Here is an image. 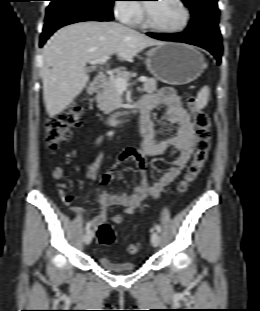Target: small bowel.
I'll list each match as a JSON object with an SVG mask.
<instances>
[{
	"label": "small bowel",
	"instance_id": "1",
	"mask_svg": "<svg viewBox=\"0 0 260 311\" xmlns=\"http://www.w3.org/2000/svg\"><path fill=\"white\" fill-rule=\"evenodd\" d=\"M159 106H165L166 113L163 119L156 124L151 120L150 113ZM140 111L142 146L140 148H126L117 156L118 162L132 159L137 163L141 172L140 180L134 186L131 194H110L98 188L91 189V193L97 197L101 204V212L89 221L92 227H96L107 219V209L112 205L122 207V213H117L112 217L114 223H122L124 215L133 214L147 197L158 196L167 185L172 183L181 174L191 158L196 140L194 124L173 89L163 88L156 93L146 96L141 101ZM105 140L106 136L99 137L96 147L100 149ZM170 148L177 149L179 153L177 158L153 185H149L146 176L147 159L162 155ZM101 162L102 155L100 152L94 160L89 161L86 175L88 180L96 178ZM52 177L58 182L60 187L59 194L63 203L70 205L74 195L66 192L67 185L63 182L65 177L64 168L56 167L52 171ZM112 177V171L107 170L101 175L100 183L108 185ZM70 209L75 214H85L82 207L72 206Z\"/></svg>",
	"mask_w": 260,
	"mask_h": 311
}]
</instances>
